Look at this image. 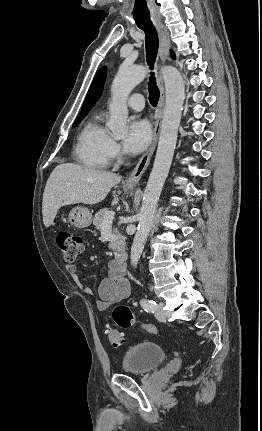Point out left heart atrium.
Masks as SVG:
<instances>
[{"instance_id":"1","label":"left heart atrium","mask_w":262,"mask_h":431,"mask_svg":"<svg viewBox=\"0 0 262 431\" xmlns=\"http://www.w3.org/2000/svg\"><path fill=\"white\" fill-rule=\"evenodd\" d=\"M150 139L151 129L149 123L146 120L133 119L129 123L123 146L127 153L136 155L147 147Z\"/></svg>"}]
</instances>
